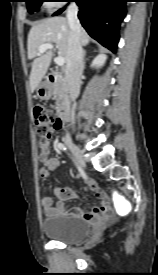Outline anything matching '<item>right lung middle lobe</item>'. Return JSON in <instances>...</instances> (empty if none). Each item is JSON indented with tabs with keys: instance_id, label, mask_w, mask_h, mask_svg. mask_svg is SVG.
<instances>
[{
	"instance_id": "right-lung-middle-lobe-1",
	"label": "right lung middle lobe",
	"mask_w": 158,
	"mask_h": 275,
	"mask_svg": "<svg viewBox=\"0 0 158 275\" xmlns=\"http://www.w3.org/2000/svg\"><path fill=\"white\" fill-rule=\"evenodd\" d=\"M43 1L44 0H26L28 12L33 13L34 11H37Z\"/></svg>"
}]
</instances>
